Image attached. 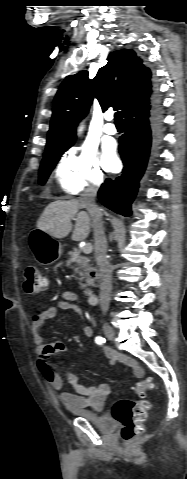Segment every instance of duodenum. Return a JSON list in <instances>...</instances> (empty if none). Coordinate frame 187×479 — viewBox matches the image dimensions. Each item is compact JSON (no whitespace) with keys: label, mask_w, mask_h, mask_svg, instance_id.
<instances>
[{"label":"duodenum","mask_w":187,"mask_h":479,"mask_svg":"<svg viewBox=\"0 0 187 479\" xmlns=\"http://www.w3.org/2000/svg\"><path fill=\"white\" fill-rule=\"evenodd\" d=\"M87 301L91 305H95L98 302V296L95 292L93 291H88L87 292Z\"/></svg>","instance_id":"410a0bca"}]
</instances>
